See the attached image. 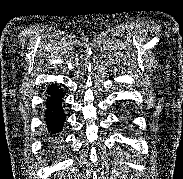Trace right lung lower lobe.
I'll return each instance as SVG.
<instances>
[{"mask_svg":"<svg viewBox=\"0 0 183 179\" xmlns=\"http://www.w3.org/2000/svg\"><path fill=\"white\" fill-rule=\"evenodd\" d=\"M46 92V128L51 137H57L58 133L62 131V126L65 122V114L62 106L64 94L57 84L48 87Z\"/></svg>","mask_w":183,"mask_h":179,"instance_id":"obj_1","label":"right lung lower lobe"}]
</instances>
